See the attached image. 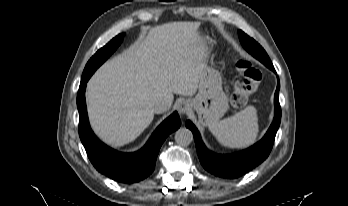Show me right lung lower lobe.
Returning <instances> with one entry per match:
<instances>
[{"label":"right lung lower lobe","instance_id":"right-lung-lower-lobe-1","mask_svg":"<svg viewBox=\"0 0 348 206\" xmlns=\"http://www.w3.org/2000/svg\"><path fill=\"white\" fill-rule=\"evenodd\" d=\"M89 64L90 63H88L84 69L77 97L79 135L87 155L93 166L99 172L114 180L126 183L140 181L153 172L160 147L167 136L180 127V118L177 113H174L159 126L146 146L144 157L146 161L144 160L143 166L135 165L133 162L126 159H117L108 152L109 149H106L93 133L91 134V130L89 129L84 91L86 82L98 67L95 66L88 71Z\"/></svg>","mask_w":348,"mask_h":206}]
</instances>
